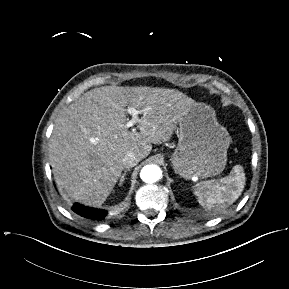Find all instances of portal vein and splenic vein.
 I'll return each mask as SVG.
<instances>
[{"label":"portal vein and splenic vein","instance_id":"obj_1","mask_svg":"<svg viewBox=\"0 0 289 289\" xmlns=\"http://www.w3.org/2000/svg\"><path fill=\"white\" fill-rule=\"evenodd\" d=\"M145 111V110H144ZM127 112L132 115V119L130 121H128L125 125L126 128H130L133 127L134 124H136L137 122H139V117L138 114H140L142 111H139L133 107H129L127 109Z\"/></svg>","mask_w":289,"mask_h":289}]
</instances>
